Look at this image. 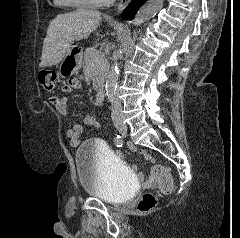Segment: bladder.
I'll return each mask as SVG.
<instances>
[{"label": "bladder", "instance_id": "bladder-1", "mask_svg": "<svg viewBox=\"0 0 240 238\" xmlns=\"http://www.w3.org/2000/svg\"><path fill=\"white\" fill-rule=\"evenodd\" d=\"M75 165L81 187L112 204L125 203L137 190L130 167L101 141H84L76 150Z\"/></svg>", "mask_w": 240, "mask_h": 238}]
</instances>
